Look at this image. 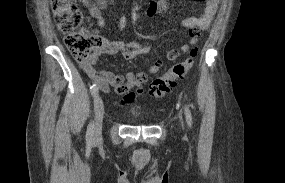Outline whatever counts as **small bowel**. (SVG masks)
Here are the masks:
<instances>
[{"mask_svg": "<svg viewBox=\"0 0 285 183\" xmlns=\"http://www.w3.org/2000/svg\"><path fill=\"white\" fill-rule=\"evenodd\" d=\"M87 8L90 15L96 20L100 28H104L107 24V19L103 13L112 0H80ZM204 8L199 16L187 17L182 24L189 30V37L186 43L179 45L175 49H170L165 52L166 58L169 61H174L179 58L182 53L188 52L195 46L201 32L208 29L218 7L219 0H203ZM167 0H152L147 9L149 16L162 15L168 10ZM126 27V20L120 19L119 29L123 31ZM101 45L94 51L92 57L80 64L84 73L91 78L99 89L105 93L114 92L120 96L116 104L123 105L134 102L140 95L144 93L143 85L148 80V74L158 73L165 62L161 59L155 60L149 67L148 72H126L115 73L110 70H99L95 63L98 57L102 54L115 55L120 54L126 61H132L136 57L147 54L151 47L146 43L125 41V40H110L107 37L101 38Z\"/></svg>", "mask_w": 285, "mask_h": 183, "instance_id": "1", "label": "small bowel"}]
</instances>
